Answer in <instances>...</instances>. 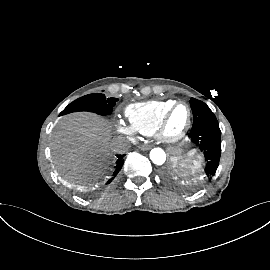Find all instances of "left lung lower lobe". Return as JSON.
I'll return each mask as SVG.
<instances>
[{
  "mask_svg": "<svg viewBox=\"0 0 270 270\" xmlns=\"http://www.w3.org/2000/svg\"><path fill=\"white\" fill-rule=\"evenodd\" d=\"M189 137L204 155L206 162L204 177H201L197 182L188 185L187 187L180 186L179 183L173 179V175L169 173L164 175V179L172 186L192 190L199 187L204 182L209 181L212 176L215 175L221 156V131L218 124H206L197 129L191 130Z\"/></svg>",
  "mask_w": 270,
  "mask_h": 270,
  "instance_id": "obj_1",
  "label": "left lung lower lobe"
}]
</instances>
